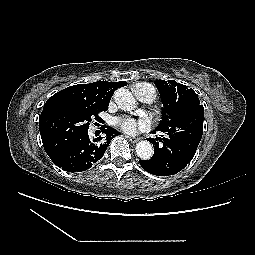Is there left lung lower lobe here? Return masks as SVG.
<instances>
[{"instance_id":"left-lung-lower-lobe-1","label":"left lung lower lobe","mask_w":255,"mask_h":255,"mask_svg":"<svg viewBox=\"0 0 255 255\" xmlns=\"http://www.w3.org/2000/svg\"><path fill=\"white\" fill-rule=\"evenodd\" d=\"M195 119L184 118L168 127L156 130L166 133L156 138H148L153 144L154 156L150 160H140V165L147 172L158 176H170L184 169L195 155L202 138L204 109L196 112Z\"/></svg>"}]
</instances>
